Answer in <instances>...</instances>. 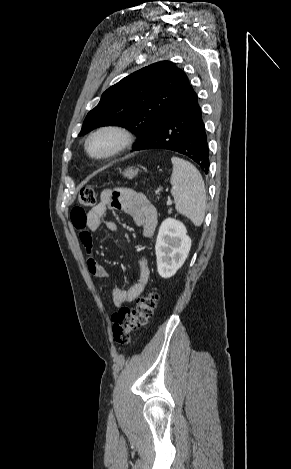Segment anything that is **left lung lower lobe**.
Segmentation results:
<instances>
[{"mask_svg":"<svg viewBox=\"0 0 291 469\" xmlns=\"http://www.w3.org/2000/svg\"><path fill=\"white\" fill-rule=\"evenodd\" d=\"M162 148L184 154L207 174L209 148L198 97L189 86L158 126L133 150Z\"/></svg>","mask_w":291,"mask_h":469,"instance_id":"0a47b994","label":"left lung lower lobe"}]
</instances>
